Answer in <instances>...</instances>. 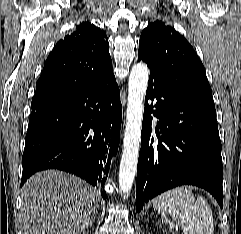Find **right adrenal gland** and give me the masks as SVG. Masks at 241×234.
<instances>
[{
  "label": "right adrenal gland",
  "instance_id": "right-adrenal-gland-1",
  "mask_svg": "<svg viewBox=\"0 0 241 234\" xmlns=\"http://www.w3.org/2000/svg\"><path fill=\"white\" fill-rule=\"evenodd\" d=\"M95 222V219L93 220V223ZM93 223H91V225L93 224Z\"/></svg>",
  "mask_w": 241,
  "mask_h": 234
}]
</instances>
